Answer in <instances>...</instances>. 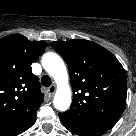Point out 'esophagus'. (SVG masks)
<instances>
[{
  "instance_id": "obj_1",
  "label": "esophagus",
  "mask_w": 136,
  "mask_h": 136,
  "mask_svg": "<svg viewBox=\"0 0 136 136\" xmlns=\"http://www.w3.org/2000/svg\"><path fill=\"white\" fill-rule=\"evenodd\" d=\"M56 91V86L55 85H51L49 88H48V93L50 96H53L54 93Z\"/></svg>"
}]
</instances>
